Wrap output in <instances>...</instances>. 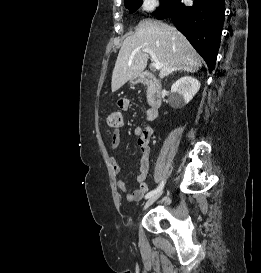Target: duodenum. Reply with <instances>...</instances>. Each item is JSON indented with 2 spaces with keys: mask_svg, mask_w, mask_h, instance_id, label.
<instances>
[{
  "mask_svg": "<svg viewBox=\"0 0 261 273\" xmlns=\"http://www.w3.org/2000/svg\"><path fill=\"white\" fill-rule=\"evenodd\" d=\"M139 83L148 87L150 92V110L156 112L162 103V87L157 78L150 72H144L140 78Z\"/></svg>",
  "mask_w": 261,
  "mask_h": 273,
  "instance_id": "duodenum-1",
  "label": "duodenum"
}]
</instances>
